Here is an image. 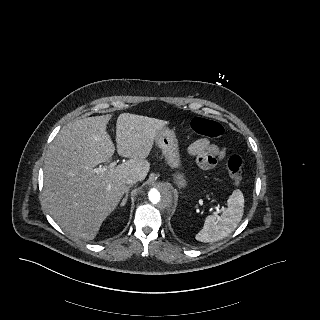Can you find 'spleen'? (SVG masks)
Returning a JSON list of instances; mask_svg holds the SVG:
<instances>
[{
	"mask_svg": "<svg viewBox=\"0 0 320 320\" xmlns=\"http://www.w3.org/2000/svg\"><path fill=\"white\" fill-rule=\"evenodd\" d=\"M244 196L237 189L227 200V208L220 216L209 215L206 217L203 228L196 239L201 242H215L232 233L243 217Z\"/></svg>",
	"mask_w": 320,
	"mask_h": 320,
	"instance_id": "1",
	"label": "spleen"
}]
</instances>
